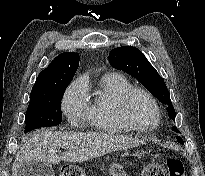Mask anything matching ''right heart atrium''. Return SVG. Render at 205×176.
Returning a JSON list of instances; mask_svg holds the SVG:
<instances>
[{
    "instance_id": "obj_1",
    "label": "right heart atrium",
    "mask_w": 205,
    "mask_h": 176,
    "mask_svg": "<svg viewBox=\"0 0 205 176\" xmlns=\"http://www.w3.org/2000/svg\"><path fill=\"white\" fill-rule=\"evenodd\" d=\"M61 108L72 125H79L88 115L85 83L82 78L76 79L66 89Z\"/></svg>"
}]
</instances>
